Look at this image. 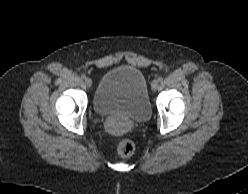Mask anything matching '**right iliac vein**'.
I'll use <instances>...</instances> for the list:
<instances>
[{
  "instance_id": "right-iliac-vein-1",
  "label": "right iliac vein",
  "mask_w": 248,
  "mask_h": 194,
  "mask_svg": "<svg viewBox=\"0 0 248 194\" xmlns=\"http://www.w3.org/2000/svg\"><path fill=\"white\" fill-rule=\"evenodd\" d=\"M86 86L90 87L92 85V80L90 78L85 79Z\"/></svg>"
}]
</instances>
